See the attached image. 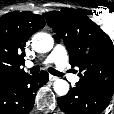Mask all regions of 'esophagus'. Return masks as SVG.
Segmentation results:
<instances>
[{
	"instance_id": "34e87169",
	"label": "esophagus",
	"mask_w": 114,
	"mask_h": 114,
	"mask_svg": "<svg viewBox=\"0 0 114 114\" xmlns=\"http://www.w3.org/2000/svg\"><path fill=\"white\" fill-rule=\"evenodd\" d=\"M49 79H50V81H55V80H57V77L54 75H49Z\"/></svg>"
}]
</instances>
